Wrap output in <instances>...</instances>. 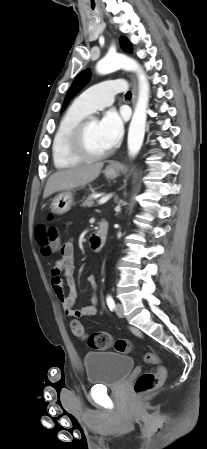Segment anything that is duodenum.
<instances>
[{
    "mask_svg": "<svg viewBox=\"0 0 207 449\" xmlns=\"http://www.w3.org/2000/svg\"><path fill=\"white\" fill-rule=\"evenodd\" d=\"M107 231H108L107 223L105 221H100L98 223L97 230L92 233L89 239L91 248L94 251L100 252L103 250L106 243Z\"/></svg>",
    "mask_w": 207,
    "mask_h": 449,
    "instance_id": "410a0bca",
    "label": "duodenum"
}]
</instances>
